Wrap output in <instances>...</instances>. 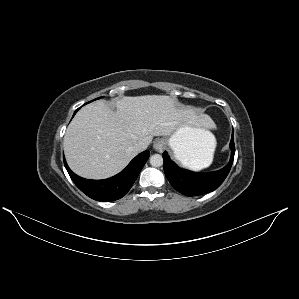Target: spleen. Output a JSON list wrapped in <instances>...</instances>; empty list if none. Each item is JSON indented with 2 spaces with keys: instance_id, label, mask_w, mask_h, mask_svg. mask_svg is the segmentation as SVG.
<instances>
[{
  "instance_id": "3e777b00",
  "label": "spleen",
  "mask_w": 299,
  "mask_h": 299,
  "mask_svg": "<svg viewBox=\"0 0 299 299\" xmlns=\"http://www.w3.org/2000/svg\"><path fill=\"white\" fill-rule=\"evenodd\" d=\"M206 125L207 126H210V127H213V125H214V123H213V121L210 119V118H208L207 119V122H206ZM208 134H209V136L211 137V138H213V134L210 132V131H208ZM180 161H182L183 163H185L187 166H189L191 169H194V170H200V169H202V168H206V167H208L210 164H211V162H212V159H209V160H207V161H205V162H203V163H187V162H185L182 158H180Z\"/></svg>"
}]
</instances>
